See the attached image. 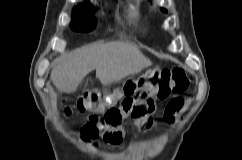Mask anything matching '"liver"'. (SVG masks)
<instances>
[{
    "instance_id": "liver-1",
    "label": "liver",
    "mask_w": 242,
    "mask_h": 160,
    "mask_svg": "<svg viewBox=\"0 0 242 160\" xmlns=\"http://www.w3.org/2000/svg\"><path fill=\"white\" fill-rule=\"evenodd\" d=\"M50 78L57 90L73 93L93 70L103 85L140 73L152 62L135 45L124 42L92 44L57 58Z\"/></svg>"
}]
</instances>
